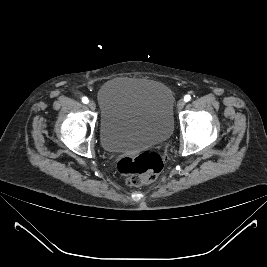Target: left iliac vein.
<instances>
[{
    "mask_svg": "<svg viewBox=\"0 0 267 267\" xmlns=\"http://www.w3.org/2000/svg\"><path fill=\"white\" fill-rule=\"evenodd\" d=\"M185 106V100L184 99H180L178 102H177V108L178 110H182Z\"/></svg>",
    "mask_w": 267,
    "mask_h": 267,
    "instance_id": "obj_1",
    "label": "left iliac vein"
}]
</instances>
